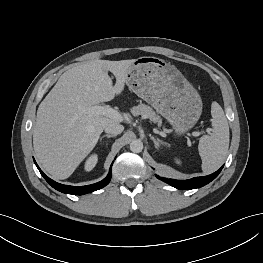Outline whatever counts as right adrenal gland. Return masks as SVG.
Returning <instances> with one entry per match:
<instances>
[{"label":"right adrenal gland","instance_id":"1","mask_svg":"<svg viewBox=\"0 0 263 263\" xmlns=\"http://www.w3.org/2000/svg\"><path fill=\"white\" fill-rule=\"evenodd\" d=\"M104 137H107L108 139L111 138V137H114V135H110V134H106V135H103L101 138H100V141H102V139Z\"/></svg>","mask_w":263,"mask_h":263}]
</instances>
